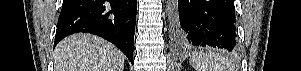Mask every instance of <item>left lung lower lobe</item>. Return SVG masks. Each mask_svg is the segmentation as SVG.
<instances>
[{"label": "left lung lower lobe", "mask_w": 301, "mask_h": 71, "mask_svg": "<svg viewBox=\"0 0 301 71\" xmlns=\"http://www.w3.org/2000/svg\"><path fill=\"white\" fill-rule=\"evenodd\" d=\"M171 13L175 42L187 47L236 49L233 0H174Z\"/></svg>", "instance_id": "obj_1"}]
</instances>
